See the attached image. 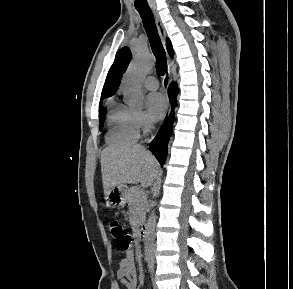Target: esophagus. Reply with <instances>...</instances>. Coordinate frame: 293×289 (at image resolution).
<instances>
[{
    "instance_id": "34e87169",
    "label": "esophagus",
    "mask_w": 293,
    "mask_h": 289,
    "mask_svg": "<svg viewBox=\"0 0 293 289\" xmlns=\"http://www.w3.org/2000/svg\"><path fill=\"white\" fill-rule=\"evenodd\" d=\"M153 14L155 17V23H156V26H157V29L159 32V36L161 38L163 45L165 46L166 32H165L164 26L162 24V21L159 17V14L155 8H153ZM167 61H168V71H167V73L164 77V80H163V87L166 92H167V89H168L169 84L171 82V66H172V62L168 56H167ZM169 113H170V103L168 102V109H167V113H166L165 118L169 115Z\"/></svg>"
}]
</instances>
